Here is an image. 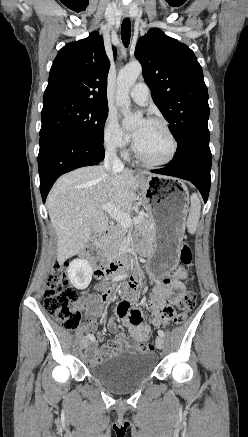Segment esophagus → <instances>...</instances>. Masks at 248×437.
<instances>
[{
    "label": "esophagus",
    "mask_w": 248,
    "mask_h": 437,
    "mask_svg": "<svg viewBox=\"0 0 248 437\" xmlns=\"http://www.w3.org/2000/svg\"><path fill=\"white\" fill-rule=\"evenodd\" d=\"M129 15H130V14H129V11H127V10H126V11H124V17H126V18H127V17H129Z\"/></svg>",
    "instance_id": "obj_1"
}]
</instances>
